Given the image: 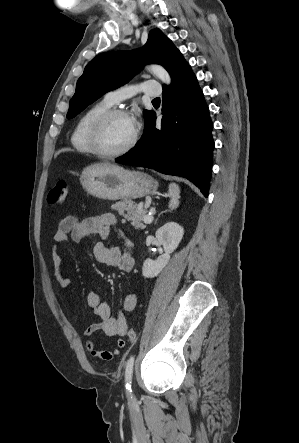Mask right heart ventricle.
<instances>
[{"label": "right heart ventricle", "mask_w": 299, "mask_h": 443, "mask_svg": "<svg viewBox=\"0 0 299 443\" xmlns=\"http://www.w3.org/2000/svg\"><path fill=\"white\" fill-rule=\"evenodd\" d=\"M112 105L105 99L93 104L78 119L71 135V144L76 151L83 154H91L92 150L88 142V133L95 118L102 112L111 109Z\"/></svg>", "instance_id": "e07e8e85"}]
</instances>
